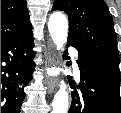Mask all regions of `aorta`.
Listing matches in <instances>:
<instances>
[{
  "label": "aorta",
  "mask_w": 121,
  "mask_h": 113,
  "mask_svg": "<svg viewBox=\"0 0 121 113\" xmlns=\"http://www.w3.org/2000/svg\"><path fill=\"white\" fill-rule=\"evenodd\" d=\"M48 29L54 44L58 50L63 49V45L67 42L68 21L61 12L51 14L48 21ZM69 104V96L65 85L62 84L58 92L55 94L52 102V113H67Z\"/></svg>",
  "instance_id": "1"
}]
</instances>
